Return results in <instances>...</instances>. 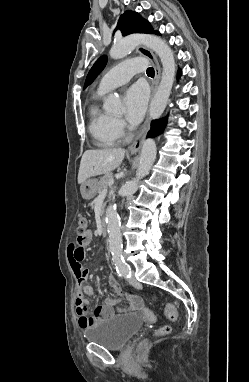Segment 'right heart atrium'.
I'll list each match as a JSON object with an SVG mask.
<instances>
[{
    "mask_svg": "<svg viewBox=\"0 0 249 382\" xmlns=\"http://www.w3.org/2000/svg\"><path fill=\"white\" fill-rule=\"evenodd\" d=\"M113 128H114L115 133L120 137V136H123L125 133L126 124L122 119L114 118Z\"/></svg>",
    "mask_w": 249,
    "mask_h": 382,
    "instance_id": "1",
    "label": "right heart atrium"
}]
</instances>
